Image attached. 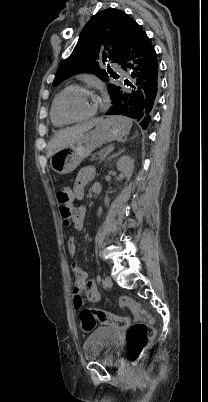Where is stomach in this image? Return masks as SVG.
Segmentation results:
<instances>
[{
    "mask_svg": "<svg viewBox=\"0 0 208 402\" xmlns=\"http://www.w3.org/2000/svg\"><path fill=\"white\" fill-rule=\"evenodd\" d=\"M131 126V120L124 116H108L106 120L96 126L95 130L84 134L83 138L74 144H67L66 148L52 154L50 158L52 170L57 174H71L95 148L126 136L129 134Z\"/></svg>",
    "mask_w": 208,
    "mask_h": 402,
    "instance_id": "1",
    "label": "stomach"
}]
</instances>
